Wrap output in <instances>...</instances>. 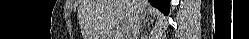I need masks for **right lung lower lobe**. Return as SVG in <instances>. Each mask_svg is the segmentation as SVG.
<instances>
[{"label":"right lung lower lobe","mask_w":249,"mask_h":39,"mask_svg":"<svg viewBox=\"0 0 249 39\" xmlns=\"http://www.w3.org/2000/svg\"><path fill=\"white\" fill-rule=\"evenodd\" d=\"M151 4L163 11L165 14H168L170 9V0H149Z\"/></svg>","instance_id":"obj_1"}]
</instances>
